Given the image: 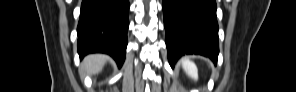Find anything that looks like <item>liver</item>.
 I'll return each mask as SVG.
<instances>
[{
  "instance_id": "obj_1",
  "label": "liver",
  "mask_w": 296,
  "mask_h": 92,
  "mask_svg": "<svg viewBox=\"0 0 296 92\" xmlns=\"http://www.w3.org/2000/svg\"><path fill=\"white\" fill-rule=\"evenodd\" d=\"M107 59L108 57L102 54L88 55L83 60L81 69L89 75H96L102 71Z\"/></svg>"
}]
</instances>
